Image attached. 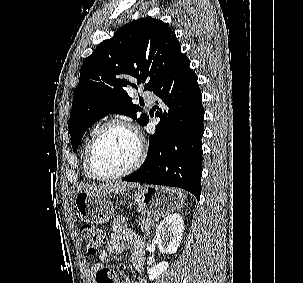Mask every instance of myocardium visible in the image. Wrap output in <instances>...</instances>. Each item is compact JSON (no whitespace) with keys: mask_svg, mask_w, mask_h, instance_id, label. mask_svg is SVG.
<instances>
[{"mask_svg":"<svg viewBox=\"0 0 303 283\" xmlns=\"http://www.w3.org/2000/svg\"><path fill=\"white\" fill-rule=\"evenodd\" d=\"M112 126H121L123 128H126L127 130H129L136 138V141L138 144V152H137L136 158L134 159L132 164L130 166H128L126 169L116 172V173H112V174H103L97 169V167L95 165L94 151H95L96 144H97L99 138L101 137V135L103 134V132ZM145 156H146V146H145L143 138L141 137V135L139 134L137 129L132 124H130L129 122H127L125 120L114 118V119H110V120L106 121L105 123H103L94 132V134L91 137V140L88 144V147H87L86 162H87V166H88L91 174L96 179L114 180V179L125 177V176L133 173L134 171H136L142 165V163L145 159Z\"/></svg>","mask_w":303,"mask_h":283,"instance_id":"1","label":"myocardium"}]
</instances>
